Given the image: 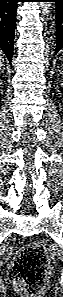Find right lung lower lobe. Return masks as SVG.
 <instances>
[{
    "label": "right lung lower lobe",
    "mask_w": 63,
    "mask_h": 297,
    "mask_svg": "<svg viewBox=\"0 0 63 297\" xmlns=\"http://www.w3.org/2000/svg\"><path fill=\"white\" fill-rule=\"evenodd\" d=\"M20 0H0V49L12 61L16 8Z\"/></svg>",
    "instance_id": "1"
}]
</instances>
